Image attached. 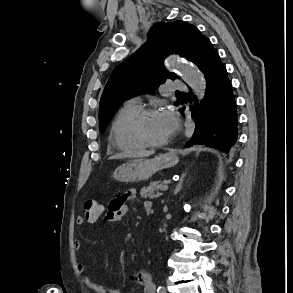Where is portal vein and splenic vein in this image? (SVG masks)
Masks as SVG:
<instances>
[{"instance_id": "portal-vein-and-splenic-vein-1", "label": "portal vein and splenic vein", "mask_w": 293, "mask_h": 293, "mask_svg": "<svg viewBox=\"0 0 293 293\" xmlns=\"http://www.w3.org/2000/svg\"><path fill=\"white\" fill-rule=\"evenodd\" d=\"M168 188H169L168 185H164V186L161 188V190H162V191H167Z\"/></svg>"}]
</instances>
